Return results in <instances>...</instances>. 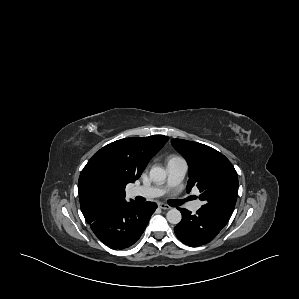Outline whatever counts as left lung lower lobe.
Here are the masks:
<instances>
[{
	"mask_svg": "<svg viewBox=\"0 0 299 299\" xmlns=\"http://www.w3.org/2000/svg\"><path fill=\"white\" fill-rule=\"evenodd\" d=\"M179 210L182 220L176 225L174 231L180 241L191 247L210 242L226 225L200 209L194 215L184 208Z\"/></svg>",
	"mask_w": 299,
	"mask_h": 299,
	"instance_id": "0a47b994",
	"label": "left lung lower lobe"
}]
</instances>
